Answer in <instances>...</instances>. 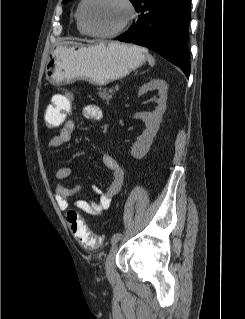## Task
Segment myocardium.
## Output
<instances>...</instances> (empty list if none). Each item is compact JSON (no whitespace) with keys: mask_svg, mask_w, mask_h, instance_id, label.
I'll list each match as a JSON object with an SVG mask.
<instances>
[{"mask_svg":"<svg viewBox=\"0 0 245 319\" xmlns=\"http://www.w3.org/2000/svg\"><path fill=\"white\" fill-rule=\"evenodd\" d=\"M91 1L92 0L83 1L81 10H80V20L85 32L92 37H95L98 39H111V38L117 37L120 34H122L124 31H126L136 18V8L132 0H119L121 3L125 5L128 12V16L125 22L119 28H117L116 30L112 32H108V33L95 32L90 29L86 21V10H87V6L89 5Z\"/></svg>","mask_w":245,"mask_h":319,"instance_id":"obj_1","label":"myocardium"}]
</instances>
